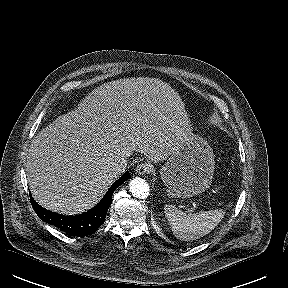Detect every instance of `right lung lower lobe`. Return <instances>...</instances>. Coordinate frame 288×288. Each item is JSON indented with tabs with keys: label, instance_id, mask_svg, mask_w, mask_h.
<instances>
[{
	"label": "right lung lower lobe",
	"instance_id": "obj_1",
	"mask_svg": "<svg viewBox=\"0 0 288 288\" xmlns=\"http://www.w3.org/2000/svg\"><path fill=\"white\" fill-rule=\"evenodd\" d=\"M130 178V173L126 172L107 191L101 202L90 211L76 216L60 215L48 211L37 204L31 197L34 211L44 222L54 225L69 235L87 236L94 233L105 221L106 213L111 205V198L116 188Z\"/></svg>",
	"mask_w": 288,
	"mask_h": 288
}]
</instances>
